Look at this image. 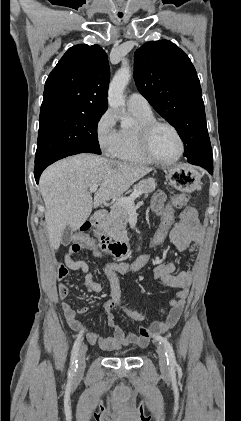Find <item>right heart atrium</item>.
<instances>
[{
	"mask_svg": "<svg viewBox=\"0 0 241 421\" xmlns=\"http://www.w3.org/2000/svg\"><path fill=\"white\" fill-rule=\"evenodd\" d=\"M95 134L101 151L107 156H113L118 141V130L112 111L106 110L99 117Z\"/></svg>",
	"mask_w": 241,
	"mask_h": 421,
	"instance_id": "right-heart-atrium-1",
	"label": "right heart atrium"
}]
</instances>
